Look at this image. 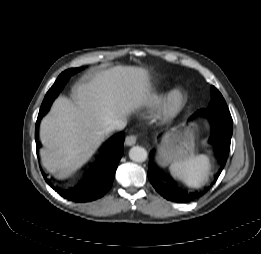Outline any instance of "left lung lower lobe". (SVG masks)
I'll list each match as a JSON object with an SVG mask.
<instances>
[{"instance_id": "left-lung-lower-lobe-1", "label": "left lung lower lobe", "mask_w": 261, "mask_h": 254, "mask_svg": "<svg viewBox=\"0 0 261 254\" xmlns=\"http://www.w3.org/2000/svg\"><path fill=\"white\" fill-rule=\"evenodd\" d=\"M211 125V136L209 138V143L213 145L214 152L218 158L220 169L215 175V180L219 177L221 171L223 170L230 149V142L233 132V121L231 119H221L217 117L207 116ZM148 178L157 190L164 198L174 202H190L200 196H202L210 187L203 188L199 191H188L181 189L174 185L163 184L153 173L151 166L148 169ZM213 182V183H214ZM212 183V184H213Z\"/></svg>"}]
</instances>
